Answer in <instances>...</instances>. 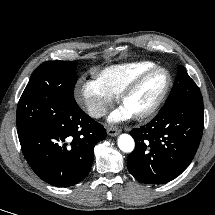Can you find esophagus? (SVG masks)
Listing matches in <instances>:
<instances>
[{
    "label": "esophagus",
    "mask_w": 215,
    "mask_h": 215,
    "mask_svg": "<svg viewBox=\"0 0 215 215\" xmlns=\"http://www.w3.org/2000/svg\"><path fill=\"white\" fill-rule=\"evenodd\" d=\"M121 130L118 128H114V127H109L107 129V134L109 136H117L118 134H120Z\"/></svg>",
    "instance_id": "34e87169"
}]
</instances>
